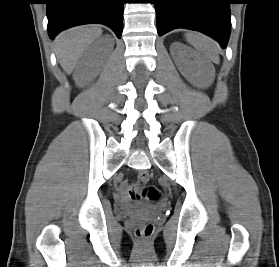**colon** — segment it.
Listing matches in <instances>:
<instances>
[{
  "label": "colon",
  "mask_w": 279,
  "mask_h": 267,
  "mask_svg": "<svg viewBox=\"0 0 279 267\" xmlns=\"http://www.w3.org/2000/svg\"><path fill=\"white\" fill-rule=\"evenodd\" d=\"M148 175L146 173H141L138 178V183L142 185L139 196L143 199L149 201H156L160 198V191L154 185L147 184ZM134 192H137L136 190ZM136 236L140 239H147L153 233V225L151 223H147L144 225H140L136 228Z\"/></svg>",
  "instance_id": "colon-1"
}]
</instances>
